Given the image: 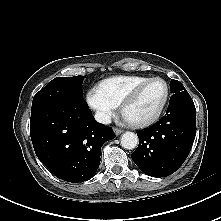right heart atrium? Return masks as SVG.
<instances>
[{"instance_id":"1","label":"right heart atrium","mask_w":221,"mask_h":221,"mask_svg":"<svg viewBox=\"0 0 221 221\" xmlns=\"http://www.w3.org/2000/svg\"><path fill=\"white\" fill-rule=\"evenodd\" d=\"M86 102L94 111L96 119L108 124L116 116L118 105L110 100L98 87H92L86 94Z\"/></svg>"}]
</instances>
